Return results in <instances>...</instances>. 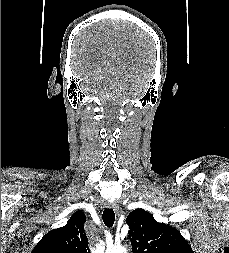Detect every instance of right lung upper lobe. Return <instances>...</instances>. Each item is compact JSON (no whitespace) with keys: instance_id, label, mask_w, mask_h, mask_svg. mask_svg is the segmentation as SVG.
I'll return each mask as SVG.
<instances>
[{"instance_id":"obj_1","label":"right lung upper lobe","mask_w":229,"mask_h":253,"mask_svg":"<svg viewBox=\"0 0 229 253\" xmlns=\"http://www.w3.org/2000/svg\"><path fill=\"white\" fill-rule=\"evenodd\" d=\"M85 214L75 212L64 227L48 232L32 253H90L84 232Z\"/></svg>"}]
</instances>
